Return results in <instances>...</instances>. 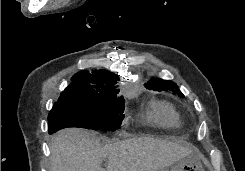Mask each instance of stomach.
Returning <instances> with one entry per match:
<instances>
[{
  "label": "stomach",
  "instance_id": "1",
  "mask_svg": "<svg viewBox=\"0 0 245 171\" xmlns=\"http://www.w3.org/2000/svg\"><path fill=\"white\" fill-rule=\"evenodd\" d=\"M160 171H205L204 166L198 158L188 156L181 159L171 169H161Z\"/></svg>",
  "mask_w": 245,
  "mask_h": 171
}]
</instances>
